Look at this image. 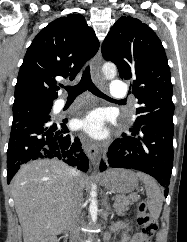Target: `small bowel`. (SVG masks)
<instances>
[{
  "label": "small bowel",
  "instance_id": "small-bowel-1",
  "mask_svg": "<svg viewBox=\"0 0 187 242\" xmlns=\"http://www.w3.org/2000/svg\"><path fill=\"white\" fill-rule=\"evenodd\" d=\"M125 226H126L125 224L120 223V224H117V225L113 228V230H119V229L124 228ZM138 240H139V236L137 235V236L134 237V239H133L131 242H138Z\"/></svg>",
  "mask_w": 187,
  "mask_h": 242
}]
</instances>
